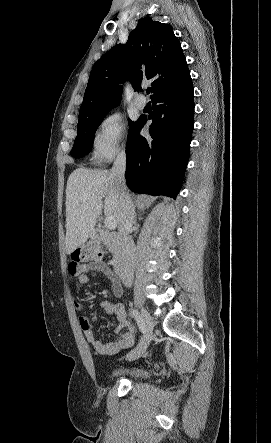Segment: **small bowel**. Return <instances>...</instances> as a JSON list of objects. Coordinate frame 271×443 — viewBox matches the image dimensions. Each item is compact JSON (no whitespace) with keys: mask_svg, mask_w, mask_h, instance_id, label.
Instances as JSON below:
<instances>
[{"mask_svg":"<svg viewBox=\"0 0 271 443\" xmlns=\"http://www.w3.org/2000/svg\"><path fill=\"white\" fill-rule=\"evenodd\" d=\"M99 272L104 274L112 283V291L115 297H120L123 291L120 279L113 273L111 268L102 260H94L88 263L69 265V282L73 285L75 282L86 284L88 282L87 274L90 272ZM79 310L82 306L79 302L76 303ZM102 309L117 320L118 326L116 334L118 339L114 342L103 343L98 340L93 331L92 325L87 317L80 316L79 323L84 332L86 340L94 351L103 356L114 355L124 349L130 348L135 342V330L129 321L124 308L112 301H104L101 303Z\"/></svg>","mask_w":271,"mask_h":443,"instance_id":"1","label":"small bowel"}]
</instances>
